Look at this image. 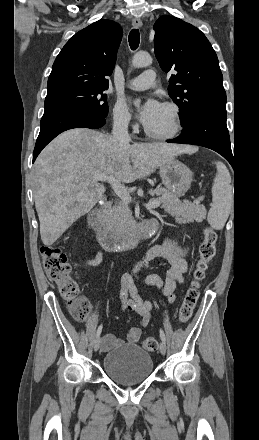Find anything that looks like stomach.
I'll return each mask as SVG.
<instances>
[{
    "mask_svg": "<svg viewBox=\"0 0 259 440\" xmlns=\"http://www.w3.org/2000/svg\"><path fill=\"white\" fill-rule=\"evenodd\" d=\"M159 174L166 189L176 197H182L189 190L193 179L192 171L175 158L159 167Z\"/></svg>",
    "mask_w": 259,
    "mask_h": 440,
    "instance_id": "0dacf381",
    "label": "stomach"
}]
</instances>
